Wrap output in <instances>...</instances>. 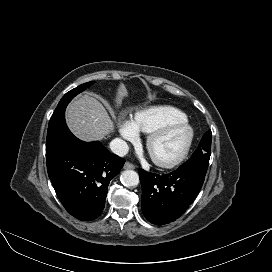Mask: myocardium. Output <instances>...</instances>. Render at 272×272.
Returning a JSON list of instances; mask_svg holds the SVG:
<instances>
[{
  "mask_svg": "<svg viewBox=\"0 0 272 272\" xmlns=\"http://www.w3.org/2000/svg\"><path fill=\"white\" fill-rule=\"evenodd\" d=\"M175 129H184L186 131V139H185V142L183 144L181 151L177 155H175L174 157H172L170 159H166V160L158 159L155 156H153L152 147H153L154 143L158 139H160L161 137H163L164 135L170 133L171 131H173ZM193 140H194V130H193L192 126L190 125V123L187 120L175 121V122L169 123L161 128L154 130L153 132H151L146 140V149H147L152 161L157 166L162 167V168H173V167L179 165L187 157V155L191 149V146L193 144Z\"/></svg>",
  "mask_w": 272,
  "mask_h": 272,
  "instance_id": "f54148a6",
  "label": "myocardium"
}]
</instances>
